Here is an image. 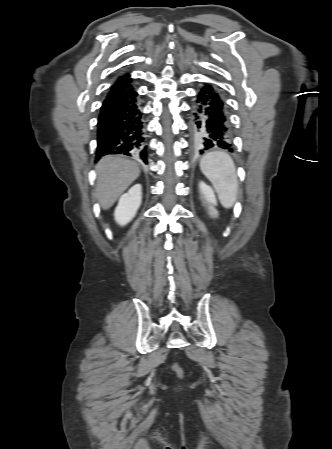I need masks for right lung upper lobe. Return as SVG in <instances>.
<instances>
[{"label": "right lung upper lobe", "mask_w": 332, "mask_h": 449, "mask_svg": "<svg viewBox=\"0 0 332 449\" xmlns=\"http://www.w3.org/2000/svg\"><path fill=\"white\" fill-rule=\"evenodd\" d=\"M131 79L127 73L123 77H119L115 84L112 86L109 94L123 93L132 90Z\"/></svg>", "instance_id": "cb5924a9"}]
</instances>
